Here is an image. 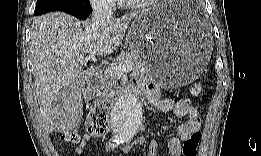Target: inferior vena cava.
Instances as JSON below:
<instances>
[{"mask_svg": "<svg viewBox=\"0 0 261 156\" xmlns=\"http://www.w3.org/2000/svg\"><path fill=\"white\" fill-rule=\"evenodd\" d=\"M92 21L95 25L101 26L111 21L113 16L112 8L107 0H96L92 3Z\"/></svg>", "mask_w": 261, "mask_h": 156, "instance_id": "inferior-vena-cava-1", "label": "inferior vena cava"}]
</instances>
